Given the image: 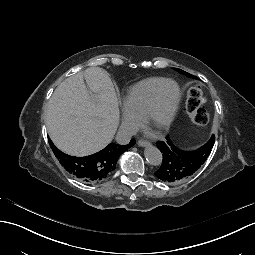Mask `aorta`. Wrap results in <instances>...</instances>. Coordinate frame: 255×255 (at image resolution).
I'll list each match as a JSON object with an SVG mask.
<instances>
[{
  "mask_svg": "<svg viewBox=\"0 0 255 255\" xmlns=\"http://www.w3.org/2000/svg\"><path fill=\"white\" fill-rule=\"evenodd\" d=\"M144 156L151 165L158 166L162 163V153L155 146H147L144 150Z\"/></svg>",
  "mask_w": 255,
  "mask_h": 255,
  "instance_id": "obj_1",
  "label": "aorta"
}]
</instances>
